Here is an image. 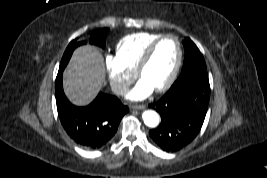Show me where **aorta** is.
Here are the masks:
<instances>
[{
  "label": "aorta",
  "instance_id": "aorta-1",
  "mask_svg": "<svg viewBox=\"0 0 267 178\" xmlns=\"http://www.w3.org/2000/svg\"><path fill=\"white\" fill-rule=\"evenodd\" d=\"M144 123L148 127H156L159 124V115L152 110L144 111L142 114Z\"/></svg>",
  "mask_w": 267,
  "mask_h": 178
}]
</instances>
